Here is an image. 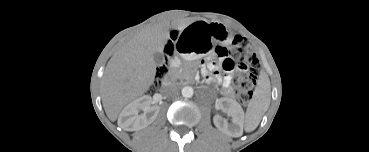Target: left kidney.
I'll list each match as a JSON object with an SVG mask.
<instances>
[{
  "instance_id": "left-kidney-1",
  "label": "left kidney",
  "mask_w": 369,
  "mask_h": 152,
  "mask_svg": "<svg viewBox=\"0 0 369 152\" xmlns=\"http://www.w3.org/2000/svg\"><path fill=\"white\" fill-rule=\"evenodd\" d=\"M220 107L226 109L235 121L239 122L243 119L244 113L242 107L236 102L228 98H222L219 101Z\"/></svg>"
}]
</instances>
